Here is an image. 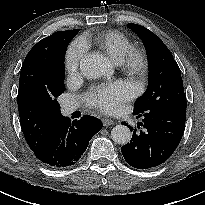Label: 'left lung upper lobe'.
Segmentation results:
<instances>
[{
  "mask_svg": "<svg viewBox=\"0 0 205 205\" xmlns=\"http://www.w3.org/2000/svg\"><path fill=\"white\" fill-rule=\"evenodd\" d=\"M143 41L148 57L149 83L145 93L136 100L133 114H142L170 100H186L181 71L170 50L150 30L128 24Z\"/></svg>",
  "mask_w": 205,
  "mask_h": 205,
  "instance_id": "5c2ea615",
  "label": "left lung upper lobe"
}]
</instances>
